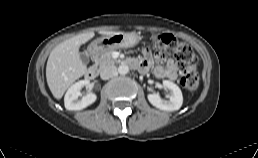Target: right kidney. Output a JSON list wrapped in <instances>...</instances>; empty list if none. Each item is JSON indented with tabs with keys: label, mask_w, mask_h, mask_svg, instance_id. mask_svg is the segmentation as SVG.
Returning a JSON list of instances; mask_svg holds the SVG:
<instances>
[{
	"label": "right kidney",
	"mask_w": 258,
	"mask_h": 158,
	"mask_svg": "<svg viewBox=\"0 0 258 158\" xmlns=\"http://www.w3.org/2000/svg\"><path fill=\"white\" fill-rule=\"evenodd\" d=\"M90 82L89 80H80L73 84L66 92L64 97V105L67 110H82L92 103H94L97 99L96 94L91 91H88L86 95L82 96L81 90L83 87L89 88Z\"/></svg>",
	"instance_id": "right-kidney-1"
}]
</instances>
